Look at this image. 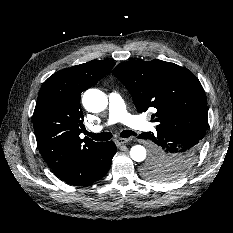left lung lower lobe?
Segmentation results:
<instances>
[{"mask_svg":"<svg viewBox=\"0 0 233 233\" xmlns=\"http://www.w3.org/2000/svg\"><path fill=\"white\" fill-rule=\"evenodd\" d=\"M139 138L151 140L154 143L152 158L161 160L171 168L158 171L159 176L174 179L181 178L189 171L202 141L197 132L186 129L157 130L156 134L145 132Z\"/></svg>","mask_w":233,"mask_h":233,"instance_id":"1","label":"left lung lower lobe"}]
</instances>
